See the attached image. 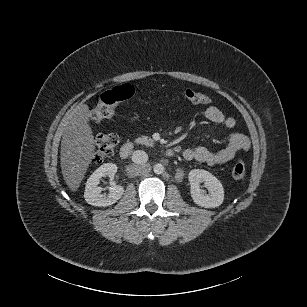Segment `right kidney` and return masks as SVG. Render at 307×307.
I'll use <instances>...</instances> for the list:
<instances>
[{
    "label": "right kidney",
    "mask_w": 307,
    "mask_h": 307,
    "mask_svg": "<svg viewBox=\"0 0 307 307\" xmlns=\"http://www.w3.org/2000/svg\"><path fill=\"white\" fill-rule=\"evenodd\" d=\"M116 172V164L105 163L90 176L84 193V199L88 204L102 208L109 207L123 197L125 189L121 185H112L109 195L101 194L103 188L98 186L104 176H109L111 179H114Z\"/></svg>",
    "instance_id": "1"
}]
</instances>
